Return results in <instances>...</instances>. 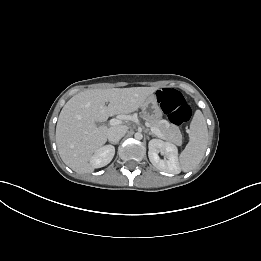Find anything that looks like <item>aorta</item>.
Masks as SVG:
<instances>
[{"mask_svg":"<svg viewBox=\"0 0 261 261\" xmlns=\"http://www.w3.org/2000/svg\"><path fill=\"white\" fill-rule=\"evenodd\" d=\"M134 137H135L136 139H138V140H141V139L143 138V135H142V133L137 132V133H135Z\"/></svg>","mask_w":261,"mask_h":261,"instance_id":"aorta-1","label":"aorta"}]
</instances>
